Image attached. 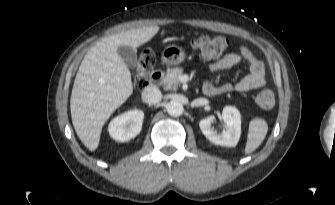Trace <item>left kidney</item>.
Segmentation results:
<instances>
[{
  "label": "left kidney",
  "instance_id": "left-kidney-1",
  "mask_svg": "<svg viewBox=\"0 0 335 205\" xmlns=\"http://www.w3.org/2000/svg\"><path fill=\"white\" fill-rule=\"evenodd\" d=\"M214 116L202 119L199 127L205 137L216 145L235 147L241 135V115L237 108L226 106L222 111V120L225 126L221 133L211 127Z\"/></svg>",
  "mask_w": 335,
  "mask_h": 205
}]
</instances>
